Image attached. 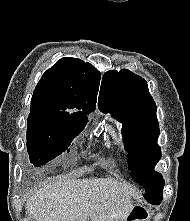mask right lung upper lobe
I'll return each instance as SVG.
<instances>
[{
	"instance_id": "1",
	"label": "right lung upper lobe",
	"mask_w": 190,
	"mask_h": 221,
	"mask_svg": "<svg viewBox=\"0 0 190 221\" xmlns=\"http://www.w3.org/2000/svg\"><path fill=\"white\" fill-rule=\"evenodd\" d=\"M100 72L76 58H62L38 82L30 114L58 116L72 121L87 119L95 111Z\"/></svg>"
}]
</instances>
